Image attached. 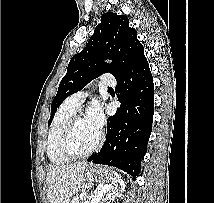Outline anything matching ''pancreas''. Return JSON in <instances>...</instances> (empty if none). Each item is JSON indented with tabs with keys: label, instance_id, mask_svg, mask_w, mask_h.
<instances>
[{
	"label": "pancreas",
	"instance_id": "cf45deb5",
	"mask_svg": "<svg viewBox=\"0 0 214 203\" xmlns=\"http://www.w3.org/2000/svg\"><path fill=\"white\" fill-rule=\"evenodd\" d=\"M105 194H106V197H107L108 193L106 192ZM93 196H94V195L91 194V195H89V196H86V197L83 198V199L75 198L74 200H72L71 203H90V197H93ZM106 197H105V198H102L101 201H100L99 203H108L107 200H106V202H105Z\"/></svg>",
	"mask_w": 214,
	"mask_h": 203
}]
</instances>
